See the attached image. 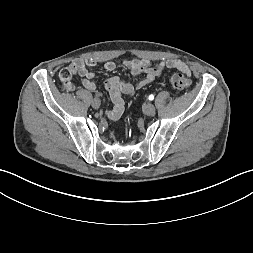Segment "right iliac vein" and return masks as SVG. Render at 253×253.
Returning a JSON list of instances; mask_svg holds the SVG:
<instances>
[{"instance_id": "obj_1", "label": "right iliac vein", "mask_w": 253, "mask_h": 253, "mask_svg": "<svg viewBox=\"0 0 253 253\" xmlns=\"http://www.w3.org/2000/svg\"><path fill=\"white\" fill-rule=\"evenodd\" d=\"M100 100L99 99H97V98H95L93 101H92V107L94 108V109H98L99 107H100Z\"/></svg>"}]
</instances>
